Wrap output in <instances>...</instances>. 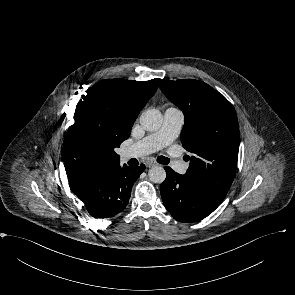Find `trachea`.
I'll list each match as a JSON object with an SVG mask.
<instances>
[{"instance_id":"trachea-1","label":"trachea","mask_w":295,"mask_h":295,"mask_svg":"<svg viewBox=\"0 0 295 295\" xmlns=\"http://www.w3.org/2000/svg\"><path fill=\"white\" fill-rule=\"evenodd\" d=\"M157 162L160 164H168L170 162V159L164 156H160L157 158Z\"/></svg>"}]
</instances>
